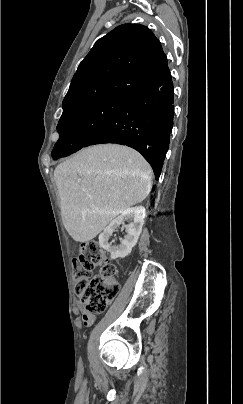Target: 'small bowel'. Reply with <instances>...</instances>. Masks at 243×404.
I'll return each instance as SVG.
<instances>
[{
    "instance_id": "1",
    "label": "small bowel",
    "mask_w": 243,
    "mask_h": 404,
    "mask_svg": "<svg viewBox=\"0 0 243 404\" xmlns=\"http://www.w3.org/2000/svg\"><path fill=\"white\" fill-rule=\"evenodd\" d=\"M96 317L94 314H90L87 311H84L82 316V322L85 326H90L94 323Z\"/></svg>"
}]
</instances>
